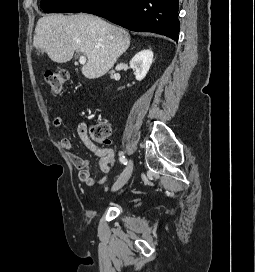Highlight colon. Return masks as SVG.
Wrapping results in <instances>:
<instances>
[{"label": "colon", "mask_w": 255, "mask_h": 272, "mask_svg": "<svg viewBox=\"0 0 255 272\" xmlns=\"http://www.w3.org/2000/svg\"><path fill=\"white\" fill-rule=\"evenodd\" d=\"M67 78L68 73L65 70H48L44 74L45 83L54 95L60 94ZM90 133L95 141L108 143L110 127L106 124H97L91 128Z\"/></svg>", "instance_id": "colon-1"}]
</instances>
